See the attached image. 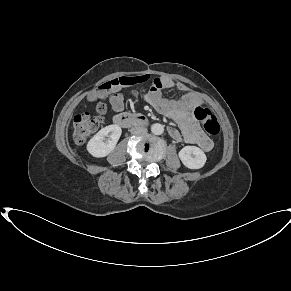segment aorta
Here are the masks:
<instances>
[{"label": "aorta", "instance_id": "aorta-1", "mask_svg": "<svg viewBox=\"0 0 291 291\" xmlns=\"http://www.w3.org/2000/svg\"><path fill=\"white\" fill-rule=\"evenodd\" d=\"M151 132L155 135H161L164 132V126L159 123H155L151 126Z\"/></svg>", "mask_w": 291, "mask_h": 291}]
</instances>
